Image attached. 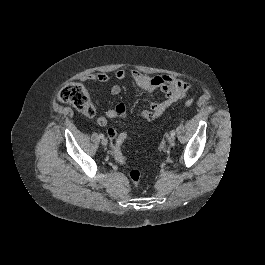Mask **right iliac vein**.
Returning a JSON list of instances; mask_svg holds the SVG:
<instances>
[{"instance_id":"1","label":"right iliac vein","mask_w":265,"mask_h":265,"mask_svg":"<svg viewBox=\"0 0 265 265\" xmlns=\"http://www.w3.org/2000/svg\"><path fill=\"white\" fill-rule=\"evenodd\" d=\"M101 144H102L103 146H106V145L108 144V140L105 139V138H103L102 141H101Z\"/></svg>"}]
</instances>
